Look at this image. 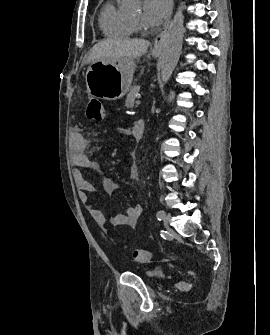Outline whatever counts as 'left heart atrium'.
I'll list each match as a JSON object with an SVG mask.
<instances>
[{"label":"left heart atrium","mask_w":270,"mask_h":335,"mask_svg":"<svg viewBox=\"0 0 270 335\" xmlns=\"http://www.w3.org/2000/svg\"><path fill=\"white\" fill-rule=\"evenodd\" d=\"M170 5L168 0H145L143 6L142 25L146 36L151 37L161 28L169 15Z\"/></svg>","instance_id":"39dd6f15"}]
</instances>
